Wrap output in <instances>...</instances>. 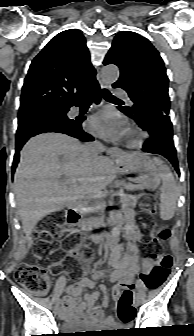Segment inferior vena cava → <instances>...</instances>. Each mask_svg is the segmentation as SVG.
Instances as JSON below:
<instances>
[{
  "instance_id": "602c4592",
  "label": "inferior vena cava",
  "mask_w": 194,
  "mask_h": 336,
  "mask_svg": "<svg viewBox=\"0 0 194 336\" xmlns=\"http://www.w3.org/2000/svg\"><path fill=\"white\" fill-rule=\"evenodd\" d=\"M87 153L90 156V164L96 165L99 161V154L104 151V146L100 142H92L86 145Z\"/></svg>"
}]
</instances>
